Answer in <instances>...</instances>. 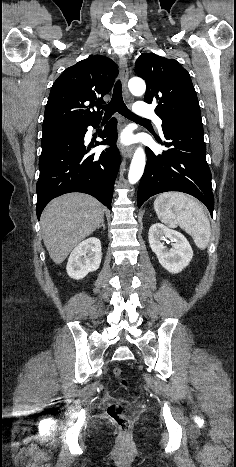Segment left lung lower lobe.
<instances>
[{
	"label": "left lung lower lobe",
	"instance_id": "0a47b994",
	"mask_svg": "<svg viewBox=\"0 0 236 467\" xmlns=\"http://www.w3.org/2000/svg\"><path fill=\"white\" fill-rule=\"evenodd\" d=\"M163 133L168 142L158 141L167 150L155 154L146 148L147 163L138 188V207L155 194L180 191L199 199L212 215L214 196L203 126L178 124L164 127Z\"/></svg>",
	"mask_w": 236,
	"mask_h": 467
}]
</instances>
